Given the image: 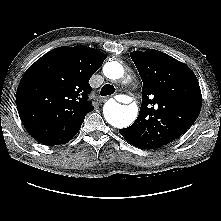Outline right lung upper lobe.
I'll use <instances>...</instances> for the list:
<instances>
[{"instance_id": "right-lung-upper-lobe-1", "label": "right lung upper lobe", "mask_w": 221, "mask_h": 221, "mask_svg": "<svg viewBox=\"0 0 221 221\" xmlns=\"http://www.w3.org/2000/svg\"><path fill=\"white\" fill-rule=\"evenodd\" d=\"M106 55L86 46H63L38 59L17 89L19 116L28 133L45 145L69 142L93 110L90 77Z\"/></svg>"}]
</instances>
